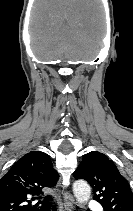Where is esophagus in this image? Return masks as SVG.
Listing matches in <instances>:
<instances>
[{"label":"esophagus","mask_w":133,"mask_h":211,"mask_svg":"<svg viewBox=\"0 0 133 211\" xmlns=\"http://www.w3.org/2000/svg\"><path fill=\"white\" fill-rule=\"evenodd\" d=\"M62 200H63L65 211L74 210V198L69 192L65 190L62 191Z\"/></svg>","instance_id":"34e87169"}]
</instances>
